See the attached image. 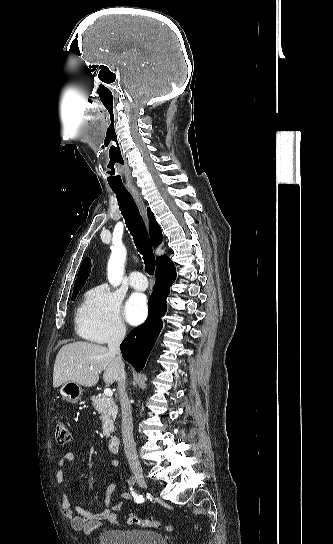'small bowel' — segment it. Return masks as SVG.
Returning <instances> with one entry per match:
<instances>
[{"label":"small bowel","instance_id":"c3829d8e","mask_svg":"<svg viewBox=\"0 0 333 544\" xmlns=\"http://www.w3.org/2000/svg\"><path fill=\"white\" fill-rule=\"evenodd\" d=\"M74 460V455L70 452L64 453L58 461V469L56 473V480L61 489V505L64 516L69 520L73 529L77 531H84L85 533H91L105 523L108 525L116 526L120 523L119 512L123 508V503L112 504L111 496L116 490L119 480L112 482L106 490L105 508L100 511H92L83 508L81 505L71 502L68 492L64 488V474L66 467ZM110 467L116 469L120 466V462L117 459H112L109 462ZM121 498L124 501L132 499L129 492H121Z\"/></svg>","mask_w":333,"mask_h":544}]
</instances>
